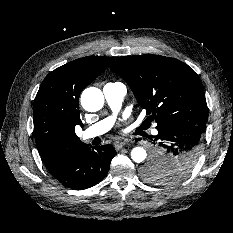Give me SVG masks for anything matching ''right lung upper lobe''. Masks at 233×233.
I'll return each mask as SVG.
<instances>
[{"mask_svg": "<svg viewBox=\"0 0 233 233\" xmlns=\"http://www.w3.org/2000/svg\"><path fill=\"white\" fill-rule=\"evenodd\" d=\"M113 61L112 57H83L45 77L33 107L36 146L44 163L84 144L75 134V126H83L79 95Z\"/></svg>", "mask_w": 233, "mask_h": 233, "instance_id": "obj_1", "label": "right lung upper lobe"}]
</instances>
